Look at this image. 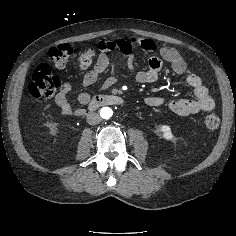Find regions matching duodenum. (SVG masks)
<instances>
[{
	"label": "duodenum",
	"mask_w": 236,
	"mask_h": 236,
	"mask_svg": "<svg viewBox=\"0 0 236 236\" xmlns=\"http://www.w3.org/2000/svg\"><path fill=\"white\" fill-rule=\"evenodd\" d=\"M87 103L90 109H97L102 106L121 105L123 103V99L117 95L101 94L89 98Z\"/></svg>",
	"instance_id": "410a0bca"
}]
</instances>
